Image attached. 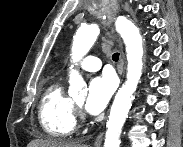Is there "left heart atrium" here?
<instances>
[{"label":"left heart atrium","instance_id":"1","mask_svg":"<svg viewBox=\"0 0 183 147\" xmlns=\"http://www.w3.org/2000/svg\"><path fill=\"white\" fill-rule=\"evenodd\" d=\"M116 89L115 79L109 74L94 78L89 85L86 109L91 114H99L107 106Z\"/></svg>","mask_w":183,"mask_h":147}]
</instances>
